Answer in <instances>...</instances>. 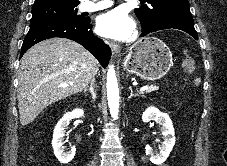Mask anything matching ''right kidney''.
Instances as JSON below:
<instances>
[{"instance_id": "1", "label": "right kidney", "mask_w": 227, "mask_h": 166, "mask_svg": "<svg viewBox=\"0 0 227 166\" xmlns=\"http://www.w3.org/2000/svg\"><path fill=\"white\" fill-rule=\"evenodd\" d=\"M84 116V111L82 109H75L72 112L66 113L57 123L53 132L52 147L56 158L62 164L69 163L75 156L76 148L70 147L69 151H65L64 136L69 123L72 119L80 118Z\"/></svg>"}]
</instances>
